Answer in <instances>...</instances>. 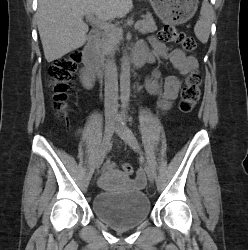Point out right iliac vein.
Listing matches in <instances>:
<instances>
[{"label": "right iliac vein", "mask_w": 248, "mask_h": 250, "mask_svg": "<svg viewBox=\"0 0 248 250\" xmlns=\"http://www.w3.org/2000/svg\"><path fill=\"white\" fill-rule=\"evenodd\" d=\"M114 122H115L114 118H107L105 121L104 135H103L100 151H99L97 162H96L97 170L101 167L104 161L105 154L107 152L110 140L114 132Z\"/></svg>", "instance_id": "63e3f726"}]
</instances>
